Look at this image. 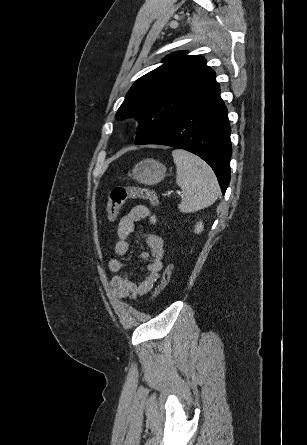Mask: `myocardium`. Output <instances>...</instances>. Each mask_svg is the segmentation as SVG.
I'll list each match as a JSON object with an SVG mask.
<instances>
[{
    "instance_id": "f54148a6",
    "label": "myocardium",
    "mask_w": 307,
    "mask_h": 445,
    "mask_svg": "<svg viewBox=\"0 0 307 445\" xmlns=\"http://www.w3.org/2000/svg\"><path fill=\"white\" fill-rule=\"evenodd\" d=\"M145 122V117L140 112H135L130 114L125 122V126L129 130L137 129L142 126Z\"/></svg>"
}]
</instances>
